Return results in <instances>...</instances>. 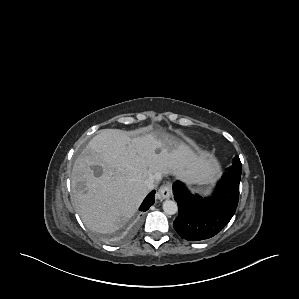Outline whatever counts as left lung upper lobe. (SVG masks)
<instances>
[{
  "mask_svg": "<svg viewBox=\"0 0 299 299\" xmlns=\"http://www.w3.org/2000/svg\"><path fill=\"white\" fill-rule=\"evenodd\" d=\"M227 171L235 172L241 175L242 165L238 156L233 159V165L230 168H227Z\"/></svg>",
  "mask_w": 299,
  "mask_h": 299,
  "instance_id": "5c2ea615",
  "label": "left lung upper lobe"
}]
</instances>
